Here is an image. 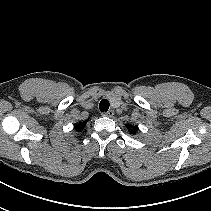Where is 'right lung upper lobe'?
I'll list each match as a JSON object with an SVG mask.
<instances>
[{"mask_svg":"<svg viewBox=\"0 0 211 211\" xmlns=\"http://www.w3.org/2000/svg\"><path fill=\"white\" fill-rule=\"evenodd\" d=\"M86 122L87 121H83V122H80L79 124H75V129L76 130H82L84 128V126L86 125Z\"/></svg>","mask_w":211,"mask_h":211,"instance_id":"obj_1","label":"right lung upper lobe"}]
</instances>
